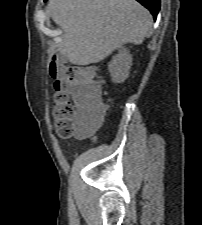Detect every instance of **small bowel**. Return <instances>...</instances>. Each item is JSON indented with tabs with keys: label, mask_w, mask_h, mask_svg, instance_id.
<instances>
[{
	"label": "small bowel",
	"mask_w": 202,
	"mask_h": 225,
	"mask_svg": "<svg viewBox=\"0 0 202 225\" xmlns=\"http://www.w3.org/2000/svg\"><path fill=\"white\" fill-rule=\"evenodd\" d=\"M85 67L88 70L92 69L91 65H86ZM77 105H78V109H77L78 118L85 124H93V122H94L93 118L89 114V112H88L85 104L83 103V101L79 99Z\"/></svg>",
	"instance_id": "1"
}]
</instances>
